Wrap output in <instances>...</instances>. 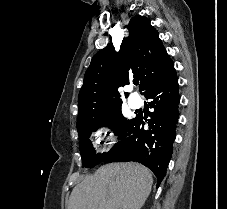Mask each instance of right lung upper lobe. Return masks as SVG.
I'll return each mask as SVG.
<instances>
[{
    "label": "right lung upper lobe",
    "instance_id": "cb5924a9",
    "mask_svg": "<svg viewBox=\"0 0 227 209\" xmlns=\"http://www.w3.org/2000/svg\"><path fill=\"white\" fill-rule=\"evenodd\" d=\"M128 29L129 37L122 41L119 52L110 43L92 58L78 96V118L100 114L107 100L120 99L117 88L132 78L141 80L140 90L145 93L159 70L172 62L146 17H133Z\"/></svg>",
    "mask_w": 227,
    "mask_h": 209
}]
</instances>
